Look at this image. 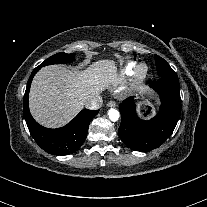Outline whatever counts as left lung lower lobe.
Masks as SVG:
<instances>
[{
	"label": "left lung lower lobe",
	"instance_id": "obj_1",
	"mask_svg": "<svg viewBox=\"0 0 207 207\" xmlns=\"http://www.w3.org/2000/svg\"><path fill=\"white\" fill-rule=\"evenodd\" d=\"M160 97L158 113L149 120L136 112L133 97L124 100L119 109V137L131 149L148 152L162 145L173 133L181 114L180 86L176 73L160 77L151 85Z\"/></svg>",
	"mask_w": 207,
	"mask_h": 207
}]
</instances>
